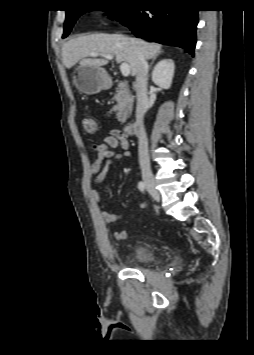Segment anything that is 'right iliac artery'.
Segmentation results:
<instances>
[{
	"instance_id": "obj_1",
	"label": "right iliac artery",
	"mask_w": 254,
	"mask_h": 355,
	"mask_svg": "<svg viewBox=\"0 0 254 355\" xmlns=\"http://www.w3.org/2000/svg\"><path fill=\"white\" fill-rule=\"evenodd\" d=\"M138 189L141 191V192H145V189H146V186H145V183L144 182H142V181H140L139 183H138Z\"/></svg>"
}]
</instances>
